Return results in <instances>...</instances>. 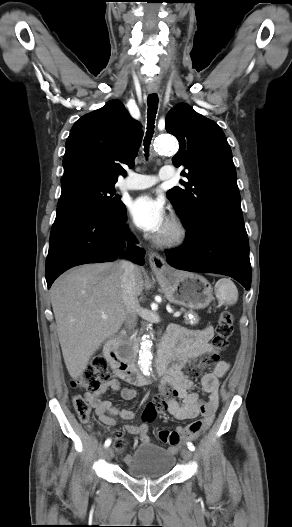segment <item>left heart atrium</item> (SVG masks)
I'll use <instances>...</instances> for the list:
<instances>
[{"label":"left heart atrium","mask_w":292,"mask_h":527,"mask_svg":"<svg viewBox=\"0 0 292 527\" xmlns=\"http://www.w3.org/2000/svg\"><path fill=\"white\" fill-rule=\"evenodd\" d=\"M130 213L137 227L149 233L161 234L169 223L164 203L149 194L137 197Z\"/></svg>","instance_id":"39dd6f15"}]
</instances>
